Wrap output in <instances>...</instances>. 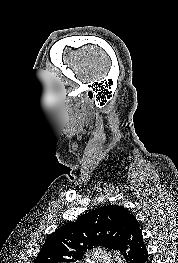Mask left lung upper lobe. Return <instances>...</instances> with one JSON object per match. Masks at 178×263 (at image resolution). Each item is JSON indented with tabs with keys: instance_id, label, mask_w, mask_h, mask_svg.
Wrapping results in <instances>:
<instances>
[{
	"instance_id": "5c2ea615",
	"label": "left lung upper lobe",
	"mask_w": 178,
	"mask_h": 263,
	"mask_svg": "<svg viewBox=\"0 0 178 263\" xmlns=\"http://www.w3.org/2000/svg\"><path fill=\"white\" fill-rule=\"evenodd\" d=\"M131 216L123 206L114 205L85 213L52 233L34 263H73L95 246L117 250Z\"/></svg>"
}]
</instances>
